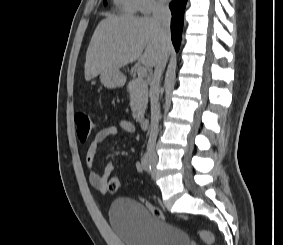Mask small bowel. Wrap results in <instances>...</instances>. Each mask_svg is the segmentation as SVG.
I'll return each mask as SVG.
<instances>
[{"mask_svg":"<svg viewBox=\"0 0 283 245\" xmlns=\"http://www.w3.org/2000/svg\"><path fill=\"white\" fill-rule=\"evenodd\" d=\"M119 129L128 133H134L136 131V128L131 121L122 119L118 122L117 126L112 125L99 130L91 141L86 152L85 162L88 181L93 188L102 194L108 193V182L110 180V175L114 170V165L111 161H107L103 174L98 175L94 169L95 157L102 143L106 139L117 135ZM135 168L138 172L143 171V166L139 161L135 163Z\"/></svg>","mask_w":283,"mask_h":245,"instance_id":"1","label":"small bowel"}]
</instances>
